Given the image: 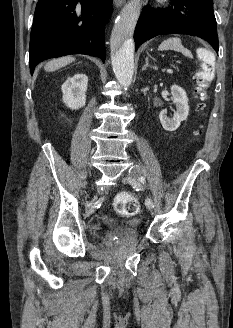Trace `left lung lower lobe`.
<instances>
[{
    "mask_svg": "<svg viewBox=\"0 0 233 328\" xmlns=\"http://www.w3.org/2000/svg\"><path fill=\"white\" fill-rule=\"evenodd\" d=\"M175 7L153 9L145 7L134 32L138 46L156 35L173 33L198 36L208 41L218 52L217 23L213 1L175 0Z\"/></svg>",
    "mask_w": 233,
    "mask_h": 328,
    "instance_id": "left-lung-lower-lobe-1",
    "label": "left lung lower lobe"
}]
</instances>
